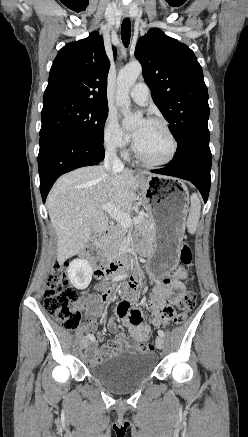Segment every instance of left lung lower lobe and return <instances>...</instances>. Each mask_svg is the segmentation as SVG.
<instances>
[{
  "instance_id": "0a47b994",
  "label": "left lung lower lobe",
  "mask_w": 248,
  "mask_h": 437,
  "mask_svg": "<svg viewBox=\"0 0 248 437\" xmlns=\"http://www.w3.org/2000/svg\"><path fill=\"white\" fill-rule=\"evenodd\" d=\"M212 155L209 148V130L193 135L187 144L175 154L167 167L151 172L175 176L192 182L207 202L210 190Z\"/></svg>"
}]
</instances>
